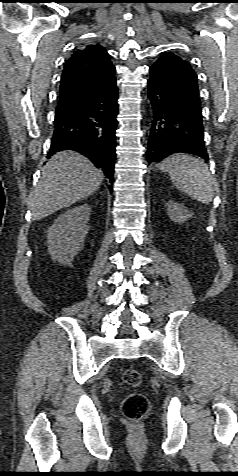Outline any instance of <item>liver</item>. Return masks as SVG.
Returning a JSON list of instances; mask_svg holds the SVG:
<instances>
[{"mask_svg": "<svg viewBox=\"0 0 238 476\" xmlns=\"http://www.w3.org/2000/svg\"><path fill=\"white\" fill-rule=\"evenodd\" d=\"M103 180V172L79 153L55 154L42 169L41 179L30 195L33 219H43L89 197Z\"/></svg>", "mask_w": 238, "mask_h": 476, "instance_id": "1", "label": "liver"}]
</instances>
